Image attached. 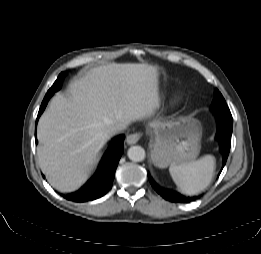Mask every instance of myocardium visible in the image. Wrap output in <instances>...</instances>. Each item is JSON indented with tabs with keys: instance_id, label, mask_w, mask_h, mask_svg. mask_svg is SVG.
<instances>
[{
	"instance_id": "1",
	"label": "myocardium",
	"mask_w": 261,
	"mask_h": 254,
	"mask_svg": "<svg viewBox=\"0 0 261 254\" xmlns=\"http://www.w3.org/2000/svg\"><path fill=\"white\" fill-rule=\"evenodd\" d=\"M181 101V97L179 94H174L171 98H170V105L172 108H176Z\"/></svg>"
}]
</instances>
